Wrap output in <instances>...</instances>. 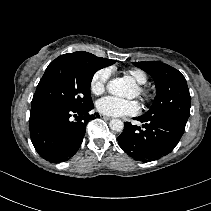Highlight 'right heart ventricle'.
Segmentation results:
<instances>
[{
  "label": "right heart ventricle",
  "instance_id": "right-heart-ventricle-1",
  "mask_svg": "<svg viewBox=\"0 0 211 211\" xmlns=\"http://www.w3.org/2000/svg\"><path fill=\"white\" fill-rule=\"evenodd\" d=\"M126 74L132 77L139 85H144L148 81L147 74L140 69H130L126 72Z\"/></svg>",
  "mask_w": 211,
  "mask_h": 211
}]
</instances>
